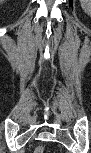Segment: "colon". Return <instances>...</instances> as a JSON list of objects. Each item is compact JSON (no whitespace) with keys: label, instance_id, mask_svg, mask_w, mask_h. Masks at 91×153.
I'll use <instances>...</instances> for the list:
<instances>
[{"label":"colon","instance_id":"obj_1","mask_svg":"<svg viewBox=\"0 0 91 153\" xmlns=\"http://www.w3.org/2000/svg\"><path fill=\"white\" fill-rule=\"evenodd\" d=\"M44 152V148L43 147H37L35 149V153H43Z\"/></svg>","mask_w":91,"mask_h":153}]
</instances>
